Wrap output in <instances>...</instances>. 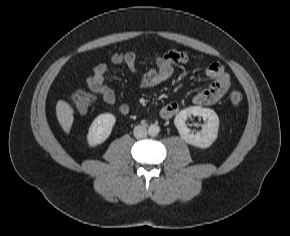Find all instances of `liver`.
Here are the masks:
<instances>
[{"mask_svg": "<svg viewBox=\"0 0 290 236\" xmlns=\"http://www.w3.org/2000/svg\"><path fill=\"white\" fill-rule=\"evenodd\" d=\"M73 108L65 101L59 100L56 104V116L65 133H69L74 121Z\"/></svg>", "mask_w": 290, "mask_h": 236, "instance_id": "obj_1", "label": "liver"}]
</instances>
